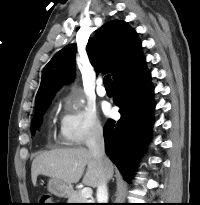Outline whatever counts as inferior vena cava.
Here are the masks:
<instances>
[{"label":"inferior vena cava","mask_w":200,"mask_h":205,"mask_svg":"<svg viewBox=\"0 0 200 205\" xmlns=\"http://www.w3.org/2000/svg\"><path fill=\"white\" fill-rule=\"evenodd\" d=\"M86 145L89 152L102 164V161L105 160L106 157L103 129L100 125H94L91 128ZM97 201L98 203H107L108 201L107 179L104 174L101 175L100 183L97 187Z\"/></svg>","instance_id":"1"}]
</instances>
